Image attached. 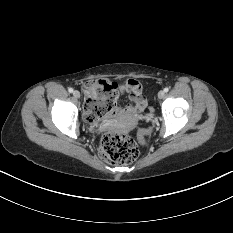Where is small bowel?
Instances as JSON below:
<instances>
[{
    "label": "small bowel",
    "instance_id": "c3829d8e",
    "mask_svg": "<svg viewBox=\"0 0 233 233\" xmlns=\"http://www.w3.org/2000/svg\"><path fill=\"white\" fill-rule=\"evenodd\" d=\"M126 94L129 95V98L132 101V104H128L122 108L116 107L114 111L107 116L113 117L116 115H132V114L139 113L145 109L147 102H146L145 97L142 94V86L137 80L129 79L125 81L124 83L117 85L116 98H118L119 96L126 95ZM91 103L92 105H94V104H97L98 102L96 100H93ZM84 108H85V116L87 118L90 115V112L88 110L87 99H86ZM97 120L92 121V122H96Z\"/></svg>",
    "mask_w": 233,
    "mask_h": 233
}]
</instances>
